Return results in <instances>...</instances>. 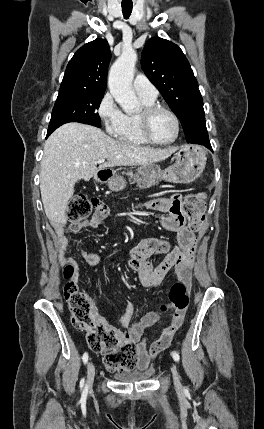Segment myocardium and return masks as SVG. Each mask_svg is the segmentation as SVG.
<instances>
[{
	"mask_svg": "<svg viewBox=\"0 0 264 429\" xmlns=\"http://www.w3.org/2000/svg\"><path fill=\"white\" fill-rule=\"evenodd\" d=\"M159 112H164L168 114L175 123L176 132L174 137L169 141H165V142L158 141L153 137L151 133V128H150L151 120L153 116ZM137 119H138L139 128L142 136L151 144L166 146V145L173 144L179 137L180 128H181L180 120L178 116L171 109L163 105L155 103V104L143 106L140 112L137 114Z\"/></svg>",
	"mask_w": 264,
	"mask_h": 429,
	"instance_id": "myocardium-1",
	"label": "myocardium"
}]
</instances>
